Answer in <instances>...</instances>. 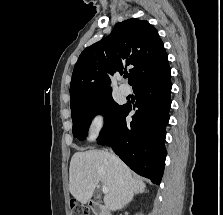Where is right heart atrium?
I'll return each instance as SVG.
<instances>
[{
  "mask_svg": "<svg viewBox=\"0 0 223 215\" xmlns=\"http://www.w3.org/2000/svg\"><path fill=\"white\" fill-rule=\"evenodd\" d=\"M108 122L106 113L103 110H96L89 117L87 128L91 130H101Z\"/></svg>",
  "mask_w": 223,
  "mask_h": 215,
  "instance_id": "d8ad5b80",
  "label": "right heart atrium"
}]
</instances>
